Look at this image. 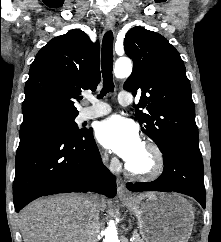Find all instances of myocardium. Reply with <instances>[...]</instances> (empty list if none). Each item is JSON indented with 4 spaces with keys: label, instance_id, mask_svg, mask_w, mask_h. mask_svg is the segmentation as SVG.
<instances>
[{
    "label": "myocardium",
    "instance_id": "f54148a6",
    "mask_svg": "<svg viewBox=\"0 0 221 242\" xmlns=\"http://www.w3.org/2000/svg\"><path fill=\"white\" fill-rule=\"evenodd\" d=\"M143 148L149 153L150 164L144 170L134 168L129 162L126 163L125 168L127 173L136 180L150 181L158 178L165 166L164 156L161 149L152 141H144Z\"/></svg>",
    "mask_w": 221,
    "mask_h": 242
}]
</instances>
